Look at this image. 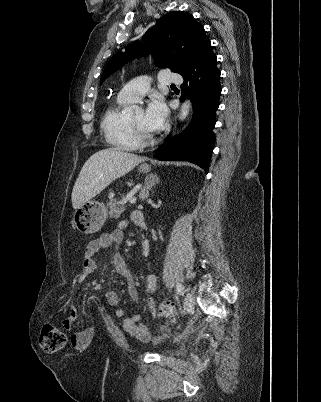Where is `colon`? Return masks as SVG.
<instances>
[{
    "instance_id": "colon-1",
    "label": "colon",
    "mask_w": 321,
    "mask_h": 402,
    "mask_svg": "<svg viewBox=\"0 0 321 402\" xmlns=\"http://www.w3.org/2000/svg\"><path fill=\"white\" fill-rule=\"evenodd\" d=\"M176 309L170 301L162 302L158 307V316L173 317ZM67 343L66 334L54 324L47 323L43 326L40 335V344L46 353H56L61 351Z\"/></svg>"
}]
</instances>
